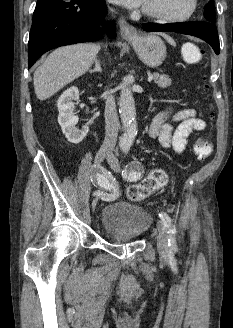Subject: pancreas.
<instances>
[{
    "label": "pancreas",
    "instance_id": "obj_1",
    "mask_svg": "<svg viewBox=\"0 0 233 328\" xmlns=\"http://www.w3.org/2000/svg\"><path fill=\"white\" fill-rule=\"evenodd\" d=\"M154 83L161 88H166L171 86V79L167 75H161L158 73L153 74Z\"/></svg>",
    "mask_w": 233,
    "mask_h": 328
}]
</instances>
